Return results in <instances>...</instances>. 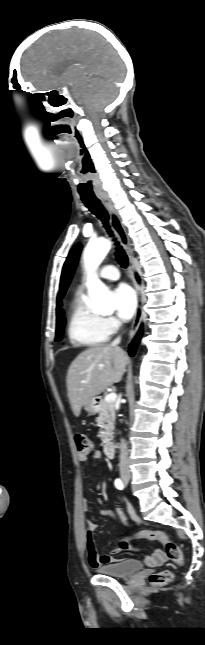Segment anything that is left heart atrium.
Segmentation results:
<instances>
[{
    "mask_svg": "<svg viewBox=\"0 0 205 645\" xmlns=\"http://www.w3.org/2000/svg\"><path fill=\"white\" fill-rule=\"evenodd\" d=\"M113 296L119 318L123 321L131 319L137 308V297L132 288L121 284L114 290Z\"/></svg>",
    "mask_w": 205,
    "mask_h": 645,
    "instance_id": "obj_1",
    "label": "left heart atrium"
}]
</instances>
